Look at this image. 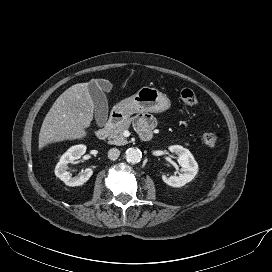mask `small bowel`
I'll return each mask as SVG.
<instances>
[{
  "instance_id": "1",
  "label": "small bowel",
  "mask_w": 272,
  "mask_h": 272,
  "mask_svg": "<svg viewBox=\"0 0 272 272\" xmlns=\"http://www.w3.org/2000/svg\"><path fill=\"white\" fill-rule=\"evenodd\" d=\"M155 126V120L149 115L140 116L136 121V129L142 139L150 138L151 130Z\"/></svg>"
}]
</instances>
